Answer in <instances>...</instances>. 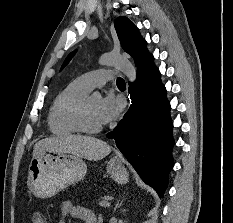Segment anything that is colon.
<instances>
[{"instance_id": "colon-1", "label": "colon", "mask_w": 233, "mask_h": 223, "mask_svg": "<svg viewBox=\"0 0 233 223\" xmlns=\"http://www.w3.org/2000/svg\"><path fill=\"white\" fill-rule=\"evenodd\" d=\"M45 222H46L45 219L41 216H36L33 221V223H45Z\"/></svg>"}]
</instances>
